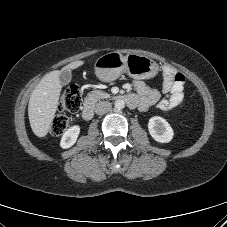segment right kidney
I'll use <instances>...</instances> for the list:
<instances>
[{
    "label": "right kidney",
    "mask_w": 227,
    "mask_h": 227,
    "mask_svg": "<svg viewBox=\"0 0 227 227\" xmlns=\"http://www.w3.org/2000/svg\"><path fill=\"white\" fill-rule=\"evenodd\" d=\"M80 127L78 125H74L70 127L62 136L60 141V146L63 149L70 148L73 146L79 136Z\"/></svg>",
    "instance_id": "1"
}]
</instances>
